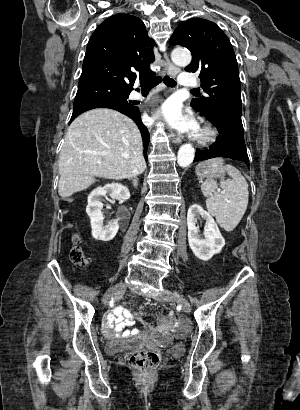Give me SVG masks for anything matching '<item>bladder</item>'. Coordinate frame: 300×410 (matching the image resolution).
<instances>
[{"mask_svg":"<svg viewBox=\"0 0 300 410\" xmlns=\"http://www.w3.org/2000/svg\"><path fill=\"white\" fill-rule=\"evenodd\" d=\"M132 340H128V341H112L107 343L106 345V349L112 353V354H117L120 351H122L127 344L131 343ZM173 352L177 353L180 352L181 350L175 345L172 347Z\"/></svg>","mask_w":300,"mask_h":410,"instance_id":"31cf9c89","label":"bladder"}]
</instances>
